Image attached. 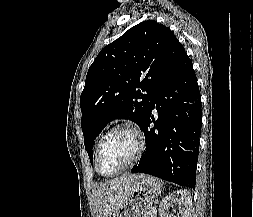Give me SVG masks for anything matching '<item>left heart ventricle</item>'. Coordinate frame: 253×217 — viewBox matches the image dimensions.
<instances>
[{
  "mask_svg": "<svg viewBox=\"0 0 253 217\" xmlns=\"http://www.w3.org/2000/svg\"><path fill=\"white\" fill-rule=\"evenodd\" d=\"M135 140L126 131H116L102 144L99 153V169L110 174L123 166L134 154Z\"/></svg>",
  "mask_w": 253,
  "mask_h": 217,
  "instance_id": "b2bd125f",
  "label": "left heart ventricle"
}]
</instances>
